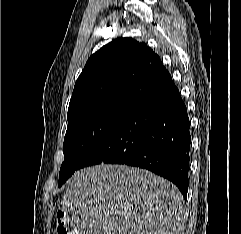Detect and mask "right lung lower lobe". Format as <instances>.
<instances>
[{
  "label": "right lung lower lobe",
  "mask_w": 241,
  "mask_h": 234,
  "mask_svg": "<svg viewBox=\"0 0 241 234\" xmlns=\"http://www.w3.org/2000/svg\"><path fill=\"white\" fill-rule=\"evenodd\" d=\"M189 128L187 108L169 77L89 151L80 169L100 163L144 168L172 181L186 199Z\"/></svg>",
  "instance_id": "obj_1"
}]
</instances>
